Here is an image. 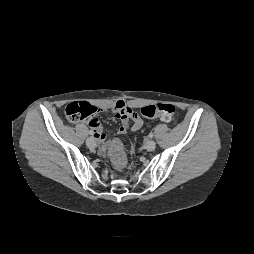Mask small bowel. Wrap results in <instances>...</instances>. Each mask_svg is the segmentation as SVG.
I'll return each instance as SVG.
<instances>
[{"label":"small bowel","mask_w":254,"mask_h":254,"mask_svg":"<svg viewBox=\"0 0 254 254\" xmlns=\"http://www.w3.org/2000/svg\"><path fill=\"white\" fill-rule=\"evenodd\" d=\"M103 111H106V109H103ZM112 113L121 121V125L118 129V134L120 135H125L129 128L132 132H136L143 126V120L140 116L124 101L116 102L112 108ZM89 126L92 129V134H94L95 138L99 141L100 151L104 152L110 144V141L103 131L101 122L98 118H94L89 122Z\"/></svg>","instance_id":"obj_1"}]
</instances>
